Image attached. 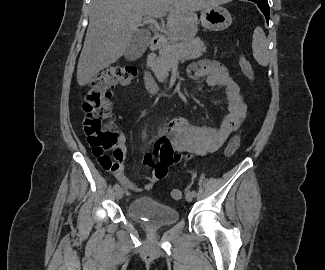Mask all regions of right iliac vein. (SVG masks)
<instances>
[{
    "instance_id": "right-iliac-vein-1",
    "label": "right iliac vein",
    "mask_w": 325,
    "mask_h": 270,
    "mask_svg": "<svg viewBox=\"0 0 325 270\" xmlns=\"http://www.w3.org/2000/svg\"><path fill=\"white\" fill-rule=\"evenodd\" d=\"M123 193H124L123 189H122V188H118V189L115 191V193H114L115 198H116L117 200H118V199H121L122 196H123Z\"/></svg>"
}]
</instances>
